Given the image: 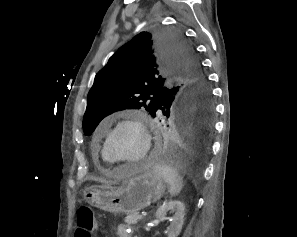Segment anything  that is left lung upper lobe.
Instances as JSON below:
<instances>
[{"instance_id": "left-lung-upper-lobe-1", "label": "left lung upper lobe", "mask_w": 297, "mask_h": 237, "mask_svg": "<svg viewBox=\"0 0 297 237\" xmlns=\"http://www.w3.org/2000/svg\"><path fill=\"white\" fill-rule=\"evenodd\" d=\"M212 100L208 81L192 47L177 31L141 32L118 49L95 76L87 97L83 131L91 135L107 115L145 108L158 118L171 101Z\"/></svg>"}]
</instances>
